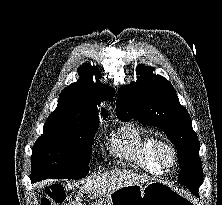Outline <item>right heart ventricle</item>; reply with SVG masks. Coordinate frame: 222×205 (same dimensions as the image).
Listing matches in <instances>:
<instances>
[{
    "label": "right heart ventricle",
    "instance_id": "right-heart-ventricle-1",
    "mask_svg": "<svg viewBox=\"0 0 222 205\" xmlns=\"http://www.w3.org/2000/svg\"><path fill=\"white\" fill-rule=\"evenodd\" d=\"M125 141L118 151L141 168L154 175H162L164 168L156 161L153 153L155 138L146 132L129 129L125 134Z\"/></svg>",
    "mask_w": 222,
    "mask_h": 205
}]
</instances>
